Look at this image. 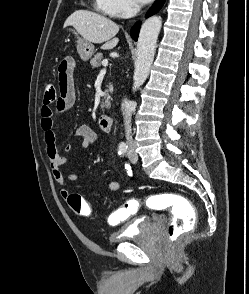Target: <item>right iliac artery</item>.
I'll use <instances>...</instances> for the list:
<instances>
[{"label":"right iliac artery","instance_id":"82829eb1","mask_svg":"<svg viewBox=\"0 0 249 294\" xmlns=\"http://www.w3.org/2000/svg\"><path fill=\"white\" fill-rule=\"evenodd\" d=\"M127 149H128L127 145H125V144L119 145L118 154L121 155V156H124L126 154V152H127Z\"/></svg>","mask_w":249,"mask_h":294}]
</instances>
